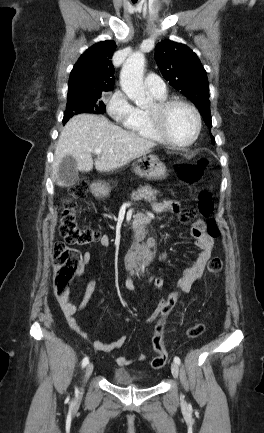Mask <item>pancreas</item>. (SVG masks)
Returning <instances> with one entry per match:
<instances>
[{
	"instance_id": "1",
	"label": "pancreas",
	"mask_w": 264,
	"mask_h": 433,
	"mask_svg": "<svg viewBox=\"0 0 264 433\" xmlns=\"http://www.w3.org/2000/svg\"><path fill=\"white\" fill-rule=\"evenodd\" d=\"M158 191L152 189L149 185L139 188L131 194L133 200H145L147 202L155 201Z\"/></svg>"
}]
</instances>
